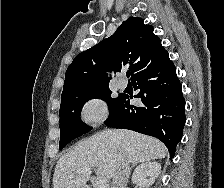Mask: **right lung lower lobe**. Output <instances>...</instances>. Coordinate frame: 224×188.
<instances>
[{"mask_svg":"<svg viewBox=\"0 0 224 188\" xmlns=\"http://www.w3.org/2000/svg\"><path fill=\"white\" fill-rule=\"evenodd\" d=\"M132 83L135 90L140 89L134 97L141 98L143 105H130L129 98L133 96L123 94L105 124L154 136L166 145L173 158L176 145L182 138L186 117L181 84L168 53L132 78Z\"/></svg>","mask_w":224,"mask_h":188,"instance_id":"right-lung-lower-lobe-1","label":"right lung lower lobe"}]
</instances>
